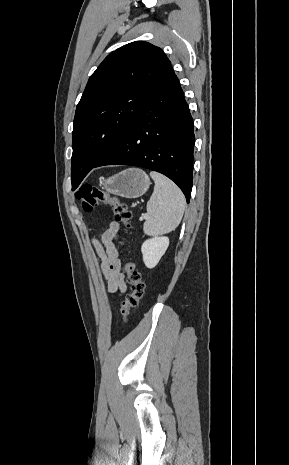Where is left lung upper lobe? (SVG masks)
Returning <instances> with one entry per match:
<instances>
[{
    "label": "left lung upper lobe",
    "mask_w": 289,
    "mask_h": 465,
    "mask_svg": "<svg viewBox=\"0 0 289 465\" xmlns=\"http://www.w3.org/2000/svg\"><path fill=\"white\" fill-rule=\"evenodd\" d=\"M173 74L164 52L143 41L126 44L104 59L76 108L72 190L114 146L151 93Z\"/></svg>",
    "instance_id": "1"
}]
</instances>
